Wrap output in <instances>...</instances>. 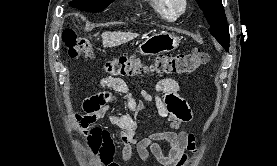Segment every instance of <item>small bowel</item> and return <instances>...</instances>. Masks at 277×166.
<instances>
[{"instance_id":"obj_1","label":"small bowel","mask_w":277,"mask_h":166,"mask_svg":"<svg viewBox=\"0 0 277 166\" xmlns=\"http://www.w3.org/2000/svg\"><path fill=\"white\" fill-rule=\"evenodd\" d=\"M139 84L142 85V82ZM99 86L102 90L83 102L85 113L82 117L85 127L89 128L97 120L108 116L111 124L120 131L122 155L128 164L135 151L141 160L149 164L186 166L190 155L196 151L195 136L181 129V126L192 120V112L179 96V86L174 79L160 80L154 94L141 89L140 100L134 97L128 84L121 78L105 77L100 80ZM110 91L125 98L127 113L108 114L107 104L112 99ZM147 103L152 104L154 112L160 119L166 120L168 129L141 137L138 116ZM87 141L89 150L96 156L99 166H119L113 160L116 150L115 139L107 129L100 127L91 129ZM160 142L169 144L170 150L167 154L163 152Z\"/></svg>"}]
</instances>
